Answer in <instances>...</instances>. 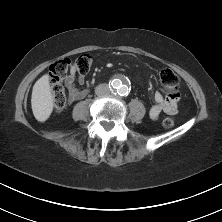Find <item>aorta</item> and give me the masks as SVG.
I'll list each match as a JSON object with an SVG mask.
<instances>
[{
  "label": "aorta",
  "instance_id": "762f6f07",
  "mask_svg": "<svg viewBox=\"0 0 222 222\" xmlns=\"http://www.w3.org/2000/svg\"><path fill=\"white\" fill-rule=\"evenodd\" d=\"M112 89L117 92L118 95L124 96L129 92V85L124 78H116L111 81Z\"/></svg>",
  "mask_w": 222,
  "mask_h": 222
}]
</instances>
